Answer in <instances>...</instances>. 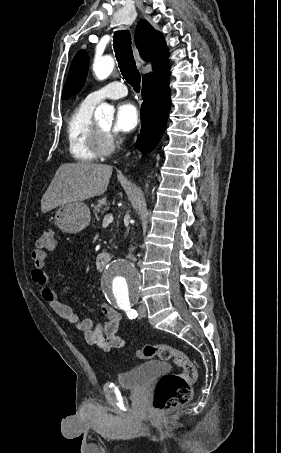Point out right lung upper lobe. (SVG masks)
Instances as JSON below:
<instances>
[{
  "label": "right lung upper lobe",
  "mask_w": 281,
  "mask_h": 453,
  "mask_svg": "<svg viewBox=\"0 0 281 453\" xmlns=\"http://www.w3.org/2000/svg\"><path fill=\"white\" fill-rule=\"evenodd\" d=\"M135 44L144 60H153V67L168 57L163 35L145 19L137 24Z\"/></svg>",
  "instance_id": "cb5924a9"
}]
</instances>
